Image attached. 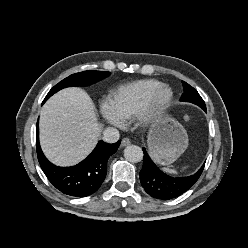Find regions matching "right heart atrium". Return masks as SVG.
<instances>
[{"instance_id": "right-heart-atrium-1", "label": "right heart atrium", "mask_w": 248, "mask_h": 248, "mask_svg": "<svg viewBox=\"0 0 248 248\" xmlns=\"http://www.w3.org/2000/svg\"><path fill=\"white\" fill-rule=\"evenodd\" d=\"M100 113L102 118L109 124L115 126V127H121L122 123L116 116L111 100L108 98H105L100 103Z\"/></svg>"}]
</instances>
